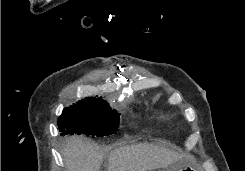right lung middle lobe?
<instances>
[{"instance_id":"1","label":"right lung middle lobe","mask_w":245,"mask_h":171,"mask_svg":"<svg viewBox=\"0 0 245 171\" xmlns=\"http://www.w3.org/2000/svg\"><path fill=\"white\" fill-rule=\"evenodd\" d=\"M116 111H111L105 101L77 102L71 108H65L59 117V131L63 134H85L93 136L111 135L119 127Z\"/></svg>"}]
</instances>
